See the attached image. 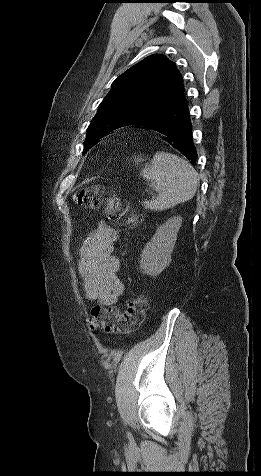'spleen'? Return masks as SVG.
<instances>
[{"instance_id":"1","label":"spleen","mask_w":261,"mask_h":476,"mask_svg":"<svg viewBox=\"0 0 261 476\" xmlns=\"http://www.w3.org/2000/svg\"><path fill=\"white\" fill-rule=\"evenodd\" d=\"M140 175L152 182L158 193L156 198L143 202L145 208L154 211H163L192 199L199 180L198 173L187 160L163 151L153 156Z\"/></svg>"}]
</instances>
